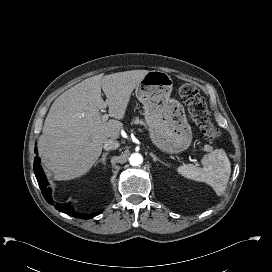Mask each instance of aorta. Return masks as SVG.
Segmentation results:
<instances>
[{"label": "aorta", "mask_w": 272, "mask_h": 272, "mask_svg": "<svg viewBox=\"0 0 272 272\" xmlns=\"http://www.w3.org/2000/svg\"><path fill=\"white\" fill-rule=\"evenodd\" d=\"M129 162L132 166H139L143 162V157L139 153H133L129 158Z\"/></svg>", "instance_id": "aorta-1"}]
</instances>
